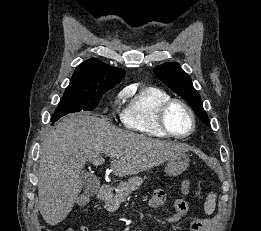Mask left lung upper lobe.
<instances>
[{
	"label": "left lung upper lobe",
	"instance_id": "left-lung-upper-lobe-1",
	"mask_svg": "<svg viewBox=\"0 0 261 231\" xmlns=\"http://www.w3.org/2000/svg\"><path fill=\"white\" fill-rule=\"evenodd\" d=\"M156 76L174 92L185 99L200 120L210 126V120L203 109L199 93L191 83L190 77L177 63H164L154 68Z\"/></svg>",
	"mask_w": 261,
	"mask_h": 231
}]
</instances>
